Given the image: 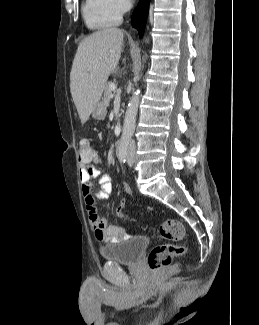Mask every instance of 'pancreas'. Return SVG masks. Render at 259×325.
<instances>
[{"mask_svg":"<svg viewBox=\"0 0 259 325\" xmlns=\"http://www.w3.org/2000/svg\"><path fill=\"white\" fill-rule=\"evenodd\" d=\"M111 82H108L104 89L103 104L107 107L109 106L110 100L112 98V90L110 89Z\"/></svg>","mask_w":259,"mask_h":325,"instance_id":"obj_1","label":"pancreas"}]
</instances>
